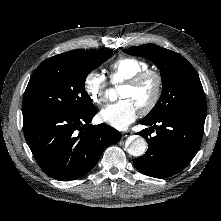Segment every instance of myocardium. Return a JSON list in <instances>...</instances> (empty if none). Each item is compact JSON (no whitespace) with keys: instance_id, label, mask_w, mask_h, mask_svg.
<instances>
[{"instance_id":"obj_1","label":"myocardium","mask_w":221,"mask_h":221,"mask_svg":"<svg viewBox=\"0 0 221 221\" xmlns=\"http://www.w3.org/2000/svg\"><path fill=\"white\" fill-rule=\"evenodd\" d=\"M148 80H153L155 84L154 88V93L152 98L147 102L144 106L139 108V111L141 114L146 115L150 113L154 108L158 105L162 93H163V86H164V81L163 77L160 74V72L153 70V69H147L144 70L132 78L126 80L123 82V85H129V86H140L143 83H145Z\"/></svg>"}]
</instances>
